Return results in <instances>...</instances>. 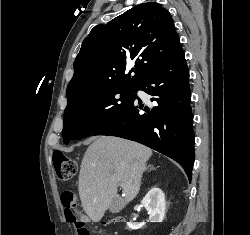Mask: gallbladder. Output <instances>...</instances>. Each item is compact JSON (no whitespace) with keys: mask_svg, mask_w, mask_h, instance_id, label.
Returning <instances> with one entry per match:
<instances>
[{"mask_svg":"<svg viewBox=\"0 0 250 235\" xmlns=\"http://www.w3.org/2000/svg\"><path fill=\"white\" fill-rule=\"evenodd\" d=\"M122 208H123V204H122L121 199H113L112 202H111V205H110V207H109V210H110L112 213H117V212H119Z\"/></svg>","mask_w":250,"mask_h":235,"instance_id":"gallbladder-1","label":"gallbladder"}]
</instances>
